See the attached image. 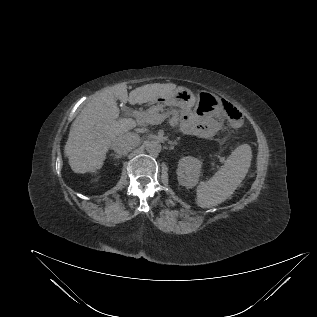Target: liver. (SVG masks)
Wrapping results in <instances>:
<instances>
[{"label": "liver", "mask_w": 317, "mask_h": 317, "mask_svg": "<svg viewBox=\"0 0 317 317\" xmlns=\"http://www.w3.org/2000/svg\"><path fill=\"white\" fill-rule=\"evenodd\" d=\"M176 89L173 83L146 84L129 95L125 83L106 88L93 96L71 125L64 153L76 173L99 170L112 142L136 126L131 118L118 119L117 100L131 105L155 102Z\"/></svg>", "instance_id": "1"}]
</instances>
